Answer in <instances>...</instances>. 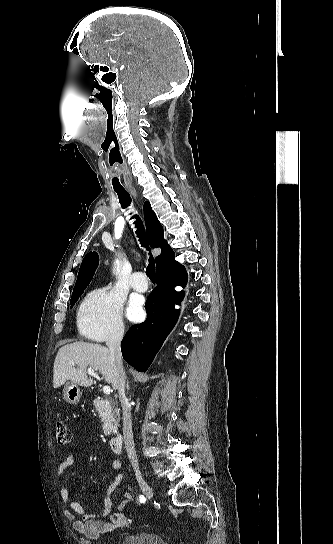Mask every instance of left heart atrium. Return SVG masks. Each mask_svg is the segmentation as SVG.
<instances>
[{
    "label": "left heart atrium",
    "instance_id": "1",
    "mask_svg": "<svg viewBox=\"0 0 333 544\" xmlns=\"http://www.w3.org/2000/svg\"><path fill=\"white\" fill-rule=\"evenodd\" d=\"M144 301L140 297H135L130 301L129 307H128V317L132 321H140L144 316V309H143Z\"/></svg>",
    "mask_w": 333,
    "mask_h": 544
}]
</instances>
